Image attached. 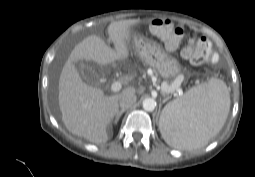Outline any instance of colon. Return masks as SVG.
I'll list each match as a JSON object with an SVG mask.
<instances>
[{
  "label": "colon",
  "mask_w": 255,
  "mask_h": 177,
  "mask_svg": "<svg viewBox=\"0 0 255 177\" xmlns=\"http://www.w3.org/2000/svg\"><path fill=\"white\" fill-rule=\"evenodd\" d=\"M151 29L170 50L179 46L184 34L182 28L175 26L169 20H156L152 23ZM181 55L195 65H201L214 59L210 42L206 39L195 40L194 37L189 38L187 45L181 50Z\"/></svg>",
  "instance_id": "5ec220e1"
}]
</instances>
